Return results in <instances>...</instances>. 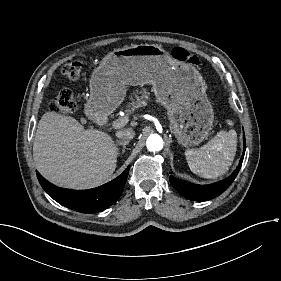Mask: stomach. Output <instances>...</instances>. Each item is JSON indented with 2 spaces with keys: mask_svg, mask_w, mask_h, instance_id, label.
<instances>
[{
  "mask_svg": "<svg viewBox=\"0 0 281 281\" xmlns=\"http://www.w3.org/2000/svg\"><path fill=\"white\" fill-rule=\"evenodd\" d=\"M148 83L168 110L179 143L195 146L204 141L212 129L214 112L202 75L154 44L118 48L104 57L90 80L86 116L100 120L110 115L124 99L126 85Z\"/></svg>",
  "mask_w": 281,
  "mask_h": 281,
  "instance_id": "1",
  "label": "stomach"
}]
</instances>
